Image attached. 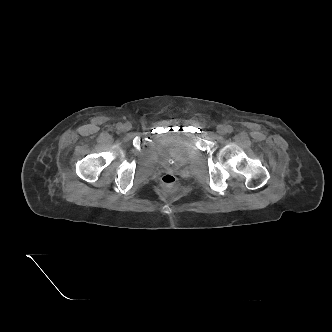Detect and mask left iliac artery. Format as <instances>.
I'll list each match as a JSON object with an SVG mask.
<instances>
[{
	"label": "left iliac artery",
	"instance_id": "44dca946",
	"mask_svg": "<svg viewBox=\"0 0 332 332\" xmlns=\"http://www.w3.org/2000/svg\"><path fill=\"white\" fill-rule=\"evenodd\" d=\"M226 129H227L228 133H232L233 132V127L230 126V125H228Z\"/></svg>",
	"mask_w": 332,
	"mask_h": 332
}]
</instances>
